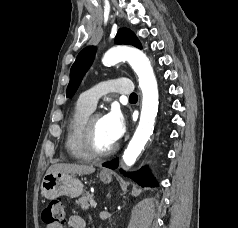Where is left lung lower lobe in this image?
<instances>
[{"instance_id":"left-lung-lower-lobe-1","label":"left lung lower lobe","mask_w":238,"mask_h":228,"mask_svg":"<svg viewBox=\"0 0 238 228\" xmlns=\"http://www.w3.org/2000/svg\"><path fill=\"white\" fill-rule=\"evenodd\" d=\"M119 160L118 158L103 164L104 167H108L110 169H116L118 167ZM121 173L124 175L132 178L142 186L146 187H157V182L151 177L150 171L147 170L146 167L142 168L139 172L135 173H125L123 170H121Z\"/></svg>"}]
</instances>
